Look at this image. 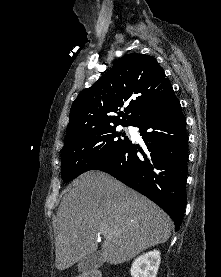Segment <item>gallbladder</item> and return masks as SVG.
I'll return each mask as SVG.
<instances>
[{
	"label": "gallbladder",
	"instance_id": "obj_1",
	"mask_svg": "<svg viewBox=\"0 0 221 277\" xmlns=\"http://www.w3.org/2000/svg\"><path fill=\"white\" fill-rule=\"evenodd\" d=\"M104 262L105 261L99 251L91 253L78 262V271L89 272L91 270L99 268L104 264Z\"/></svg>",
	"mask_w": 221,
	"mask_h": 277
}]
</instances>
